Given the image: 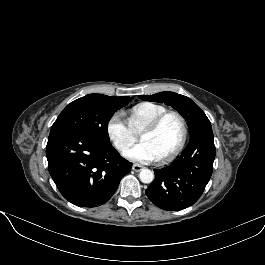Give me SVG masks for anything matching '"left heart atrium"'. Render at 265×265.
<instances>
[{"label": "left heart atrium", "instance_id": "39dd6f15", "mask_svg": "<svg viewBox=\"0 0 265 265\" xmlns=\"http://www.w3.org/2000/svg\"><path fill=\"white\" fill-rule=\"evenodd\" d=\"M124 155L127 158L138 162H148L156 159L154 152L144 141L134 144L133 146L125 150Z\"/></svg>", "mask_w": 265, "mask_h": 265}]
</instances>
